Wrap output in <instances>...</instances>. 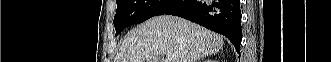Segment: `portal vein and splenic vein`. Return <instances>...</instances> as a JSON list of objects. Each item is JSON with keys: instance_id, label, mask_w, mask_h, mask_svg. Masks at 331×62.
<instances>
[{"instance_id": "18ae733b", "label": "portal vein and splenic vein", "mask_w": 331, "mask_h": 62, "mask_svg": "<svg viewBox=\"0 0 331 62\" xmlns=\"http://www.w3.org/2000/svg\"><path fill=\"white\" fill-rule=\"evenodd\" d=\"M165 62H175V56L168 54Z\"/></svg>"}]
</instances>
